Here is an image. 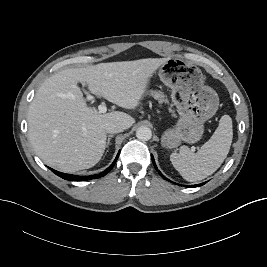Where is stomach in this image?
Masks as SVG:
<instances>
[{
  "label": "stomach",
  "mask_w": 267,
  "mask_h": 267,
  "mask_svg": "<svg viewBox=\"0 0 267 267\" xmlns=\"http://www.w3.org/2000/svg\"><path fill=\"white\" fill-rule=\"evenodd\" d=\"M161 81L171 88L172 102L179 113L175 126L162 135V146L178 147L182 142L195 143L204 132V122L213 117L219 106L215 90L205 85L202 71L180 58H168L159 67Z\"/></svg>",
  "instance_id": "stomach-1"
}]
</instances>
